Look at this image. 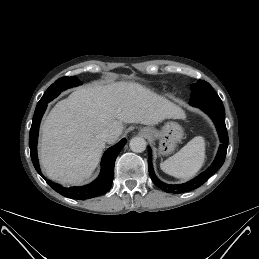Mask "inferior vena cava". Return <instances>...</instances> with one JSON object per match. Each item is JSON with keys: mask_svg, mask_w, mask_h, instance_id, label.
<instances>
[{"mask_svg": "<svg viewBox=\"0 0 259 259\" xmlns=\"http://www.w3.org/2000/svg\"><path fill=\"white\" fill-rule=\"evenodd\" d=\"M98 138L104 140V141H108V139L110 138V132L109 130H104L101 133L98 134Z\"/></svg>", "mask_w": 259, "mask_h": 259, "instance_id": "602c4592", "label": "inferior vena cava"}]
</instances>
